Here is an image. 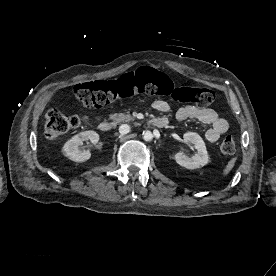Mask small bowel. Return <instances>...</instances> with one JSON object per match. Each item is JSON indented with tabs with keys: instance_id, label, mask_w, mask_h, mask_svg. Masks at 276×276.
<instances>
[{
	"instance_id": "1",
	"label": "small bowel",
	"mask_w": 276,
	"mask_h": 276,
	"mask_svg": "<svg viewBox=\"0 0 276 276\" xmlns=\"http://www.w3.org/2000/svg\"><path fill=\"white\" fill-rule=\"evenodd\" d=\"M153 108L159 112L167 113L170 111V105L163 100L153 102ZM176 118L179 121L194 119L211 127L206 131L205 137L209 142H216L222 134L228 131V121L221 117L213 108H200L193 105L181 107L176 112ZM98 120V118H96Z\"/></svg>"
}]
</instances>
